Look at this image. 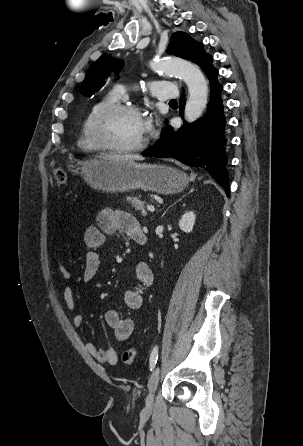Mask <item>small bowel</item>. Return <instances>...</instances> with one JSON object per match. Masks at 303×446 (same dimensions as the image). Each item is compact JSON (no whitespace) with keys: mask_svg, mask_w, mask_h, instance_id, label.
<instances>
[{"mask_svg":"<svg viewBox=\"0 0 303 446\" xmlns=\"http://www.w3.org/2000/svg\"><path fill=\"white\" fill-rule=\"evenodd\" d=\"M118 233L129 236L137 243V238L144 234L137 219L124 211L105 209L101 211L96 219V225L88 226L82 237L85 249V265L83 270V280L92 281L100 270L101 260L98 249L104 244L107 236ZM59 272L62 278L69 279L71 274L62 264L59 265ZM153 282V273L149 265L139 262L135 269L133 284L124 292L123 300L126 307L135 311L140 309L143 301V293ZM63 298L67 308L74 312L75 301L73 288L66 286L63 291ZM104 320L108 327L113 330L118 341L127 340L134 331V321L130 317H123L117 310H108L104 314ZM84 318L80 313L73 317V325L80 327ZM87 352L98 362L109 365H116L118 362L117 352L113 348L100 349L94 343L87 342L85 345Z\"/></svg>","mask_w":303,"mask_h":446,"instance_id":"small-bowel-1","label":"small bowel"}]
</instances>
